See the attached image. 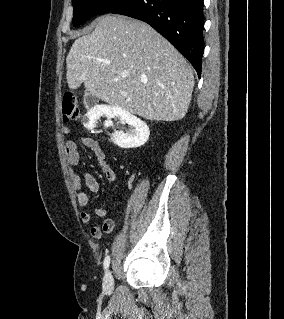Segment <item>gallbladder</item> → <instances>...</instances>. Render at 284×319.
I'll return each instance as SVG.
<instances>
[{"instance_id":"gallbladder-1","label":"gallbladder","mask_w":284,"mask_h":319,"mask_svg":"<svg viewBox=\"0 0 284 319\" xmlns=\"http://www.w3.org/2000/svg\"><path fill=\"white\" fill-rule=\"evenodd\" d=\"M98 102H99V99L91 95H87L84 98V105L88 108L93 107Z\"/></svg>"}]
</instances>
